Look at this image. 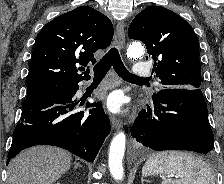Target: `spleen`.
<instances>
[{
    "label": "spleen",
    "mask_w": 224,
    "mask_h": 184,
    "mask_svg": "<svg viewBox=\"0 0 224 184\" xmlns=\"http://www.w3.org/2000/svg\"><path fill=\"white\" fill-rule=\"evenodd\" d=\"M160 174L162 184H215L211 167L193 153L160 152L152 155L142 168L143 176ZM175 174L178 179H171Z\"/></svg>",
    "instance_id": "1"
}]
</instances>
